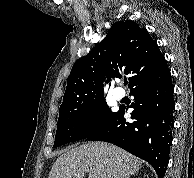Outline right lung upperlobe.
Wrapping results in <instances>:
<instances>
[{
	"label": "right lung upper lobe",
	"instance_id": "cb5924a9",
	"mask_svg": "<svg viewBox=\"0 0 194 178\" xmlns=\"http://www.w3.org/2000/svg\"><path fill=\"white\" fill-rule=\"evenodd\" d=\"M169 68L146 28L133 21L118 22L90 53L72 67L60 113L76 109L103 96L106 76L130 75V90L151 82Z\"/></svg>",
	"mask_w": 194,
	"mask_h": 178
}]
</instances>
